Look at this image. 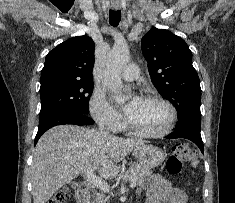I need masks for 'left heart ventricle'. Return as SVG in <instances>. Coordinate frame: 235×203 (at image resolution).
Masks as SVG:
<instances>
[{"label": "left heart ventricle", "mask_w": 235, "mask_h": 203, "mask_svg": "<svg viewBox=\"0 0 235 203\" xmlns=\"http://www.w3.org/2000/svg\"><path fill=\"white\" fill-rule=\"evenodd\" d=\"M128 118L136 128L153 132L160 130L165 125L168 110L159 102L143 99Z\"/></svg>", "instance_id": "left-heart-ventricle-1"}]
</instances>
